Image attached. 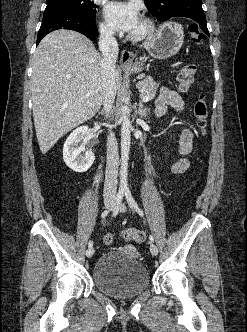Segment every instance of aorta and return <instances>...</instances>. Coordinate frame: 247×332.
Wrapping results in <instances>:
<instances>
[{"mask_svg": "<svg viewBox=\"0 0 247 332\" xmlns=\"http://www.w3.org/2000/svg\"><path fill=\"white\" fill-rule=\"evenodd\" d=\"M123 101L126 102L127 98L124 97ZM121 178L120 188H128V160L130 152V141H131V121H130V110L127 105H122L121 108Z\"/></svg>", "mask_w": 247, "mask_h": 332, "instance_id": "1", "label": "aorta"}]
</instances>
